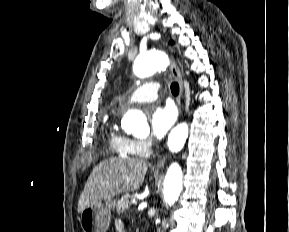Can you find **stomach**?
<instances>
[{
	"mask_svg": "<svg viewBox=\"0 0 289 232\" xmlns=\"http://www.w3.org/2000/svg\"><path fill=\"white\" fill-rule=\"evenodd\" d=\"M115 204V200H107L105 203L92 204L85 208L79 217L83 232H106L110 225L111 210Z\"/></svg>",
	"mask_w": 289,
	"mask_h": 232,
	"instance_id": "1",
	"label": "stomach"
}]
</instances>
